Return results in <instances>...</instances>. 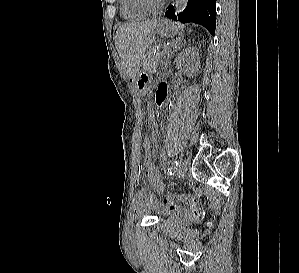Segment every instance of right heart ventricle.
<instances>
[{"instance_id": "right-heart-ventricle-1", "label": "right heart ventricle", "mask_w": 299, "mask_h": 273, "mask_svg": "<svg viewBox=\"0 0 299 273\" xmlns=\"http://www.w3.org/2000/svg\"><path fill=\"white\" fill-rule=\"evenodd\" d=\"M121 16L129 21H139L149 15L148 12L137 6L134 0H120Z\"/></svg>"}]
</instances>
